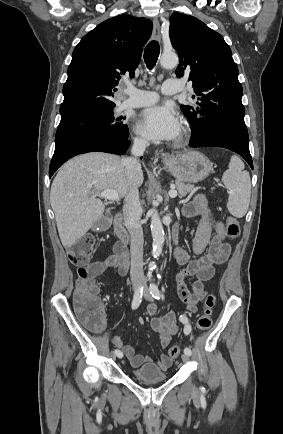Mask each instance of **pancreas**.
<instances>
[{
	"mask_svg": "<svg viewBox=\"0 0 283 434\" xmlns=\"http://www.w3.org/2000/svg\"><path fill=\"white\" fill-rule=\"evenodd\" d=\"M176 189L179 194V198L185 197L188 193H193L195 188L192 184H185L181 181H176Z\"/></svg>",
	"mask_w": 283,
	"mask_h": 434,
	"instance_id": "obj_1",
	"label": "pancreas"
}]
</instances>
